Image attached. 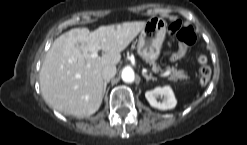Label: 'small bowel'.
Here are the masks:
<instances>
[{"mask_svg":"<svg viewBox=\"0 0 247 145\" xmlns=\"http://www.w3.org/2000/svg\"><path fill=\"white\" fill-rule=\"evenodd\" d=\"M186 53V50L182 47H180L179 49H177L174 54H173V58L174 59H181Z\"/></svg>","mask_w":247,"mask_h":145,"instance_id":"small-bowel-1","label":"small bowel"}]
</instances>
